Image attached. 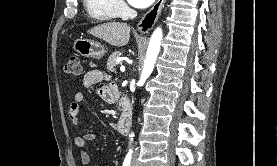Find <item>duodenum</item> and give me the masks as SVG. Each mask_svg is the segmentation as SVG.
I'll use <instances>...</instances> for the list:
<instances>
[{"instance_id":"obj_1","label":"duodenum","mask_w":277,"mask_h":166,"mask_svg":"<svg viewBox=\"0 0 277 166\" xmlns=\"http://www.w3.org/2000/svg\"><path fill=\"white\" fill-rule=\"evenodd\" d=\"M121 113L118 119L117 128L121 133H127L131 124V105L126 98L120 100Z\"/></svg>"}]
</instances>
